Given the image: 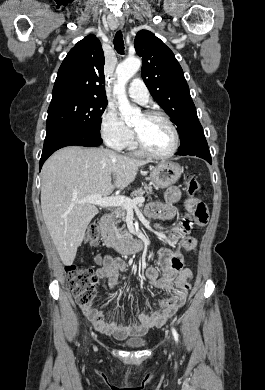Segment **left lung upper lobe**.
Instances as JSON below:
<instances>
[{"label":"left lung upper lobe","mask_w":265,"mask_h":390,"mask_svg":"<svg viewBox=\"0 0 265 390\" xmlns=\"http://www.w3.org/2000/svg\"><path fill=\"white\" fill-rule=\"evenodd\" d=\"M134 46L142 57L143 81L177 126L178 152L185 151L204 133L183 70L173 52L148 30L137 33Z\"/></svg>","instance_id":"left-lung-upper-lobe-1"}]
</instances>
